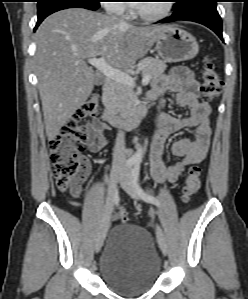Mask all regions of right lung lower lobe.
<instances>
[{
  "label": "right lung lower lobe",
  "mask_w": 248,
  "mask_h": 299,
  "mask_svg": "<svg viewBox=\"0 0 248 299\" xmlns=\"http://www.w3.org/2000/svg\"><path fill=\"white\" fill-rule=\"evenodd\" d=\"M73 7H79V8H85L89 10H98V7H94L88 4H85L83 2H78L74 0H58L56 2H53L47 6L42 7L41 9H38V22L35 26V29L39 26V24L46 18L48 15L67 8H73Z\"/></svg>",
  "instance_id": "98d812e1"
}]
</instances>
